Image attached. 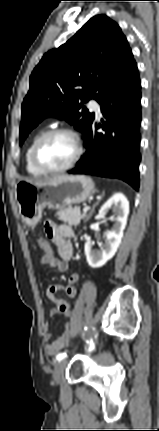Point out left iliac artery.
Instances as JSON below:
<instances>
[{
  "mask_svg": "<svg viewBox=\"0 0 159 431\" xmlns=\"http://www.w3.org/2000/svg\"><path fill=\"white\" fill-rule=\"evenodd\" d=\"M93 349H94V343H93V341L91 340V341H90L89 350L91 351V350H93ZM65 357H66V353H60V354H58V355H57L56 359H57L58 361H61V360H63Z\"/></svg>",
  "mask_w": 159,
  "mask_h": 431,
  "instance_id": "left-iliac-artery-1",
  "label": "left iliac artery"
}]
</instances>
